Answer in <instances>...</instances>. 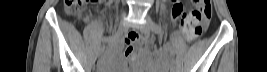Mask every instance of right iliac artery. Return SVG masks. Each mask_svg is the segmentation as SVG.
Wrapping results in <instances>:
<instances>
[{
	"label": "right iliac artery",
	"instance_id": "obj_1",
	"mask_svg": "<svg viewBox=\"0 0 267 72\" xmlns=\"http://www.w3.org/2000/svg\"><path fill=\"white\" fill-rule=\"evenodd\" d=\"M120 35H121V33L116 32L112 36L102 39V41L100 43V49H104L106 43H108V42L109 43L115 42L120 37Z\"/></svg>",
	"mask_w": 267,
	"mask_h": 72
}]
</instances>
